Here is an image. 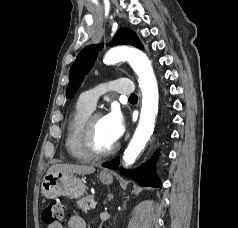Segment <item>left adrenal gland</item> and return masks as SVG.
<instances>
[{"label": "left adrenal gland", "instance_id": "1", "mask_svg": "<svg viewBox=\"0 0 238 228\" xmlns=\"http://www.w3.org/2000/svg\"><path fill=\"white\" fill-rule=\"evenodd\" d=\"M113 194L112 193H110L109 195H108V200L110 201L111 199H113Z\"/></svg>", "mask_w": 238, "mask_h": 228}]
</instances>
